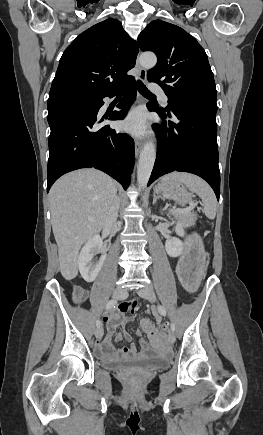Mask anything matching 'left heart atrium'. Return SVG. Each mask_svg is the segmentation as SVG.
Instances as JSON below:
<instances>
[{
    "mask_svg": "<svg viewBox=\"0 0 263 435\" xmlns=\"http://www.w3.org/2000/svg\"><path fill=\"white\" fill-rule=\"evenodd\" d=\"M122 127L134 135H142L146 127L144 114L139 110L131 112L123 121Z\"/></svg>",
    "mask_w": 263,
    "mask_h": 435,
    "instance_id": "left-heart-atrium-1",
    "label": "left heart atrium"
}]
</instances>
